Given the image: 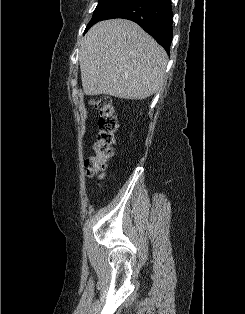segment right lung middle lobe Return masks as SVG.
<instances>
[{"label":"right lung middle lobe","instance_id":"right-lung-middle-lobe-1","mask_svg":"<svg viewBox=\"0 0 245 314\" xmlns=\"http://www.w3.org/2000/svg\"><path fill=\"white\" fill-rule=\"evenodd\" d=\"M127 0H99L93 13L91 21L88 23L85 33L97 22L103 20L111 11L123 4Z\"/></svg>","mask_w":245,"mask_h":314}]
</instances>
